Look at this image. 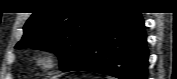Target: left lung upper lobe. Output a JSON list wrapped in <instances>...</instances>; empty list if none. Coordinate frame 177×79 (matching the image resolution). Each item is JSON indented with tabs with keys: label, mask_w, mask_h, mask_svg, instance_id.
I'll use <instances>...</instances> for the list:
<instances>
[{
	"label": "left lung upper lobe",
	"mask_w": 177,
	"mask_h": 79,
	"mask_svg": "<svg viewBox=\"0 0 177 79\" xmlns=\"http://www.w3.org/2000/svg\"><path fill=\"white\" fill-rule=\"evenodd\" d=\"M93 11H45L33 13L15 48L31 47L56 53L61 70L77 55L89 34L99 24L107 6L93 3Z\"/></svg>",
	"instance_id": "left-lung-upper-lobe-1"
}]
</instances>
